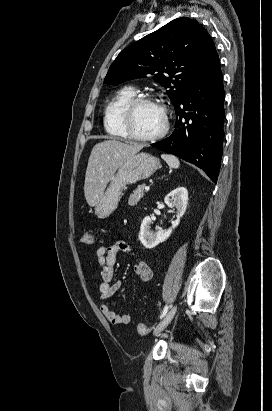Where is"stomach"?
Instances as JSON below:
<instances>
[{
	"mask_svg": "<svg viewBox=\"0 0 272 411\" xmlns=\"http://www.w3.org/2000/svg\"><path fill=\"white\" fill-rule=\"evenodd\" d=\"M160 166V160L148 153H139L126 160L113 174L106 191L96 205L97 217H109L117 208L125 187L149 178Z\"/></svg>",
	"mask_w": 272,
	"mask_h": 411,
	"instance_id": "0dacf381",
	"label": "stomach"
}]
</instances>
